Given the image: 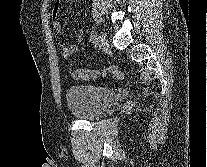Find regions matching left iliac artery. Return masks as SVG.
Segmentation results:
<instances>
[{"label": "left iliac artery", "instance_id": "obj_1", "mask_svg": "<svg viewBox=\"0 0 207 167\" xmlns=\"http://www.w3.org/2000/svg\"><path fill=\"white\" fill-rule=\"evenodd\" d=\"M90 41L92 43H95L97 41V33L95 30H92L91 34H90Z\"/></svg>", "mask_w": 207, "mask_h": 167}]
</instances>
